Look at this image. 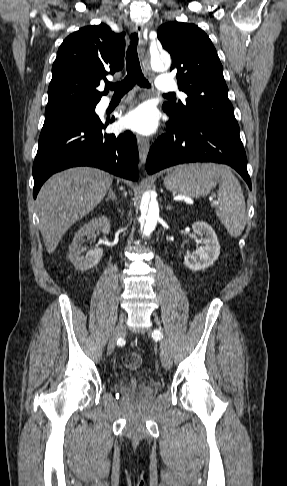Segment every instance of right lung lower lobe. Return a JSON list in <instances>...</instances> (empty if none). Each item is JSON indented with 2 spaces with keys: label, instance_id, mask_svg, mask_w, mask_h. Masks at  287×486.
Masks as SVG:
<instances>
[{
  "label": "right lung lower lobe",
  "instance_id": "obj_1",
  "mask_svg": "<svg viewBox=\"0 0 287 486\" xmlns=\"http://www.w3.org/2000/svg\"><path fill=\"white\" fill-rule=\"evenodd\" d=\"M114 121L92 115L79 121L43 127L33 164L36 198L42 184L54 173L75 166H92L114 175L138 179L139 155L135 136L126 131L115 136L103 129Z\"/></svg>",
  "mask_w": 287,
  "mask_h": 486
}]
</instances>
